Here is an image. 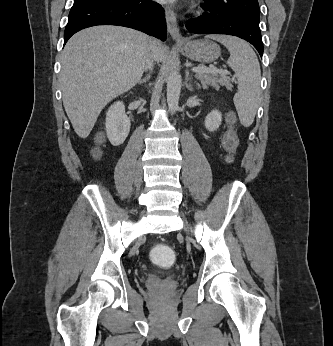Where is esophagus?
Segmentation results:
<instances>
[{"instance_id":"esophagus-1","label":"esophagus","mask_w":333,"mask_h":346,"mask_svg":"<svg viewBox=\"0 0 333 346\" xmlns=\"http://www.w3.org/2000/svg\"><path fill=\"white\" fill-rule=\"evenodd\" d=\"M164 10H165V16H166V22H167V28H168L169 34L175 41L177 42L183 41L184 39L181 36L179 28H178L176 14L169 6H166Z\"/></svg>"}]
</instances>
